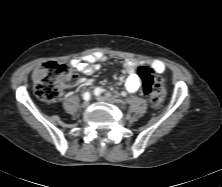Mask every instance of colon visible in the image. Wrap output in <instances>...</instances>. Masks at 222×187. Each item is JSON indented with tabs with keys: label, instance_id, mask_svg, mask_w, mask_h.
Returning a JSON list of instances; mask_svg holds the SVG:
<instances>
[{
	"label": "colon",
	"instance_id": "colon-1",
	"mask_svg": "<svg viewBox=\"0 0 222 187\" xmlns=\"http://www.w3.org/2000/svg\"><path fill=\"white\" fill-rule=\"evenodd\" d=\"M138 76L149 103L153 107L161 106L166 94L163 81L145 66L139 68ZM33 81L37 96L45 102H53L65 85L74 82V74L68 64L49 61L34 71Z\"/></svg>",
	"mask_w": 222,
	"mask_h": 187
}]
</instances>
